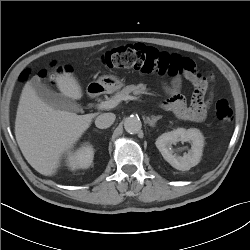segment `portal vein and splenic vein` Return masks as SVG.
<instances>
[{"label":"portal vein and splenic vein","instance_id":"portal-vein-and-splenic-vein-1","mask_svg":"<svg viewBox=\"0 0 250 250\" xmlns=\"http://www.w3.org/2000/svg\"><path fill=\"white\" fill-rule=\"evenodd\" d=\"M122 100H138V97L127 95L122 99H110L107 101H103L97 105L98 109H112L116 107Z\"/></svg>","mask_w":250,"mask_h":250}]
</instances>
